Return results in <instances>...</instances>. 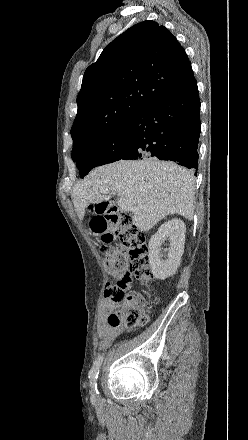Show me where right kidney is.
Masks as SVG:
<instances>
[{
  "mask_svg": "<svg viewBox=\"0 0 248 440\" xmlns=\"http://www.w3.org/2000/svg\"><path fill=\"white\" fill-rule=\"evenodd\" d=\"M186 226L181 219H171L162 224L149 241V265L153 276L164 280L173 276L181 263L184 252ZM166 239L170 240L167 258L162 259L161 246Z\"/></svg>",
  "mask_w": 248,
  "mask_h": 440,
  "instance_id": "ca27d5eb",
  "label": "right kidney"
}]
</instances>
